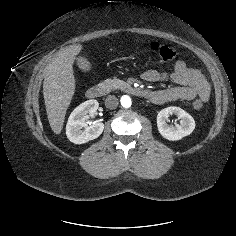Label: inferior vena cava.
Segmentation results:
<instances>
[{"label":"inferior vena cava","mask_w":236,"mask_h":236,"mask_svg":"<svg viewBox=\"0 0 236 236\" xmlns=\"http://www.w3.org/2000/svg\"><path fill=\"white\" fill-rule=\"evenodd\" d=\"M118 104V99L114 95H110L105 99V106L109 109H115Z\"/></svg>","instance_id":"602c4592"}]
</instances>
